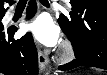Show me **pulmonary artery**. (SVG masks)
<instances>
[{
    "mask_svg": "<svg viewBox=\"0 0 107 75\" xmlns=\"http://www.w3.org/2000/svg\"><path fill=\"white\" fill-rule=\"evenodd\" d=\"M8 16H9V17H12V16H13V12H10V13L8 14Z\"/></svg>",
    "mask_w": 107,
    "mask_h": 75,
    "instance_id": "1",
    "label": "pulmonary artery"
}]
</instances>
